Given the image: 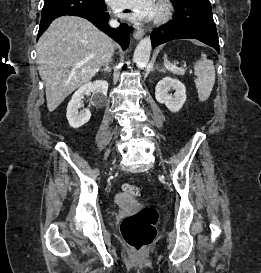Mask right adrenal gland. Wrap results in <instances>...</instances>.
<instances>
[{
	"mask_svg": "<svg viewBox=\"0 0 261 273\" xmlns=\"http://www.w3.org/2000/svg\"><path fill=\"white\" fill-rule=\"evenodd\" d=\"M112 60H108L105 64H104V70L103 71H107V72H110V68H109V63L111 62Z\"/></svg>",
	"mask_w": 261,
	"mask_h": 273,
	"instance_id": "right-adrenal-gland-1",
	"label": "right adrenal gland"
}]
</instances>
